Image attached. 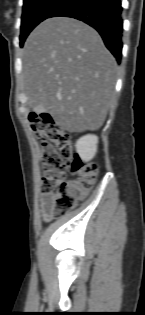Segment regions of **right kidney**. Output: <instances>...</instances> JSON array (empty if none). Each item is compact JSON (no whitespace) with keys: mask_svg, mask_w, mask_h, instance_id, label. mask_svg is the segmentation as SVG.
Returning a JSON list of instances; mask_svg holds the SVG:
<instances>
[{"mask_svg":"<svg viewBox=\"0 0 145 315\" xmlns=\"http://www.w3.org/2000/svg\"><path fill=\"white\" fill-rule=\"evenodd\" d=\"M98 137L96 135H85L77 140L76 150L80 158L84 161H90L97 152Z\"/></svg>","mask_w":145,"mask_h":315,"instance_id":"obj_1","label":"right kidney"}]
</instances>
